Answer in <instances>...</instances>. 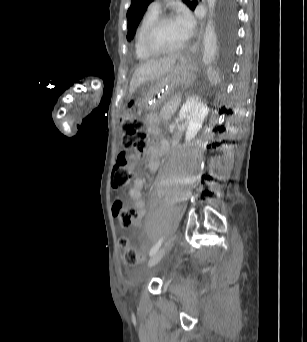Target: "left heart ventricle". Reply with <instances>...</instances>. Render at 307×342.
I'll return each instance as SVG.
<instances>
[{
  "instance_id": "1",
  "label": "left heart ventricle",
  "mask_w": 307,
  "mask_h": 342,
  "mask_svg": "<svg viewBox=\"0 0 307 342\" xmlns=\"http://www.w3.org/2000/svg\"><path fill=\"white\" fill-rule=\"evenodd\" d=\"M178 22H165L155 32L152 44L159 50H173L185 44Z\"/></svg>"
}]
</instances>
